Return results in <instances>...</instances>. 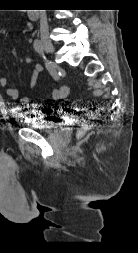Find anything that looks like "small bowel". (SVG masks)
Segmentation results:
<instances>
[{
    "label": "small bowel",
    "instance_id": "obj_1",
    "mask_svg": "<svg viewBox=\"0 0 138 253\" xmlns=\"http://www.w3.org/2000/svg\"><path fill=\"white\" fill-rule=\"evenodd\" d=\"M32 57L31 56H25L24 58V62L26 64H31L32 63ZM44 68L41 64H37L35 65L32 73L29 76L28 79V86L30 88H35L38 82V77L39 75L43 72ZM0 85L5 88L6 90V94L11 98V99H18L19 98V92L17 89L13 88V87H9L8 86V82L7 79L0 67ZM21 104L22 105H28L29 104V98L28 97H23L21 98Z\"/></svg>",
    "mask_w": 138,
    "mask_h": 253
}]
</instances>
